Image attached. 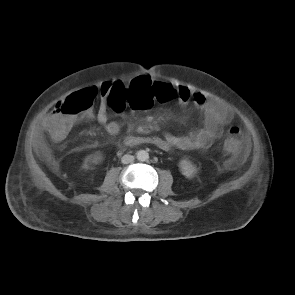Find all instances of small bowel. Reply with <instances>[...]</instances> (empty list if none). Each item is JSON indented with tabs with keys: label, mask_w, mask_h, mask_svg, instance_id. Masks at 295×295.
<instances>
[{
	"label": "small bowel",
	"mask_w": 295,
	"mask_h": 295,
	"mask_svg": "<svg viewBox=\"0 0 295 295\" xmlns=\"http://www.w3.org/2000/svg\"><path fill=\"white\" fill-rule=\"evenodd\" d=\"M145 83H148L151 86L155 84H168L165 82H159L147 75H140L130 80L126 86L143 87ZM106 84L102 85L101 87L103 99L94 118L104 126L109 134L116 135L120 131V125L117 121L109 119V103L104 91ZM171 86L174 88L175 97L181 106H186L192 102L196 108L204 114L205 119L203 127L189 135H173L167 133L163 137L128 136L124 140V144L126 146H135L141 143H149L164 151H169L172 148H178L181 150H201L209 147L217 137L221 128L226 126L231 121V113L224 105L207 99L199 91L192 90L184 84H174ZM55 117V110L46 117L43 122V128L45 131L48 132L49 127L54 121ZM240 152L241 149L239 152L232 154L233 157L227 162L229 166L233 167L238 163Z\"/></svg>",
	"instance_id": "c3829d8e"
}]
</instances>
